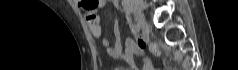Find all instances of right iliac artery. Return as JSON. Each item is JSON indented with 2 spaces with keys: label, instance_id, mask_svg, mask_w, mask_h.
Returning <instances> with one entry per match:
<instances>
[{
  "label": "right iliac artery",
  "instance_id": "right-iliac-artery-1",
  "mask_svg": "<svg viewBox=\"0 0 238 70\" xmlns=\"http://www.w3.org/2000/svg\"><path fill=\"white\" fill-rule=\"evenodd\" d=\"M132 31H133V32H137V31H139V26L136 25V24L133 25V26H132Z\"/></svg>",
  "mask_w": 238,
  "mask_h": 70
}]
</instances>
